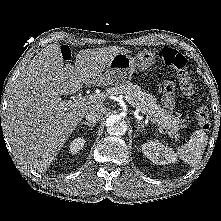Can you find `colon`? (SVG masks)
<instances>
[{
	"mask_svg": "<svg viewBox=\"0 0 221 221\" xmlns=\"http://www.w3.org/2000/svg\"><path fill=\"white\" fill-rule=\"evenodd\" d=\"M62 57L64 60H68L70 57L69 50L63 49ZM159 58L163 64L173 67L176 70L178 83L182 92L195 102H199L200 100L195 96V89L191 81L186 57L174 48L164 47L159 52ZM172 90V83L166 81L164 83V92H169ZM196 116L200 128L203 130H208L211 125L208 108L204 105L198 106Z\"/></svg>",
	"mask_w": 221,
	"mask_h": 221,
	"instance_id": "5ec220e1",
	"label": "colon"
}]
</instances>
